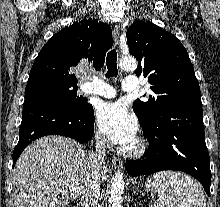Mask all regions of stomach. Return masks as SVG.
I'll list each match as a JSON object with an SVG mask.
<instances>
[{"label": "stomach", "mask_w": 220, "mask_h": 207, "mask_svg": "<svg viewBox=\"0 0 220 207\" xmlns=\"http://www.w3.org/2000/svg\"><path fill=\"white\" fill-rule=\"evenodd\" d=\"M146 188L147 190L151 191V192H156L157 191V187L154 181L152 180H148L146 183Z\"/></svg>", "instance_id": "0dacf381"}]
</instances>
